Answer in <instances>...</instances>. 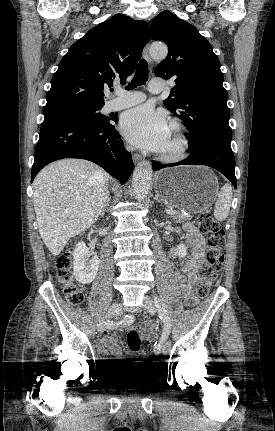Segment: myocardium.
Returning <instances> with one entry per match:
<instances>
[{"label":"myocardium","instance_id":"obj_1","mask_svg":"<svg viewBox=\"0 0 275 431\" xmlns=\"http://www.w3.org/2000/svg\"><path fill=\"white\" fill-rule=\"evenodd\" d=\"M169 126L175 131L177 144L171 152H160L159 158L166 163H176L187 157L190 140L184 125L178 120H171Z\"/></svg>","mask_w":275,"mask_h":431}]
</instances>
